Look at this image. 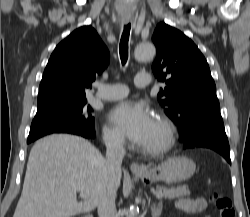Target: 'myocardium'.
Listing matches in <instances>:
<instances>
[{
	"label": "myocardium",
	"mask_w": 250,
	"mask_h": 217,
	"mask_svg": "<svg viewBox=\"0 0 250 217\" xmlns=\"http://www.w3.org/2000/svg\"><path fill=\"white\" fill-rule=\"evenodd\" d=\"M156 119L163 128L164 139L155 147H144L142 149L145 154L151 156L161 155L169 151L173 147L176 137V128L171 119L163 114H157Z\"/></svg>",
	"instance_id": "1"
}]
</instances>
